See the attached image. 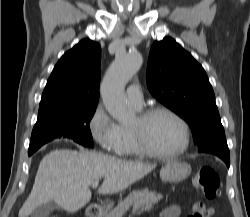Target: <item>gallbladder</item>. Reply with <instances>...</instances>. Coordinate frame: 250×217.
<instances>
[{"label": "gallbladder", "mask_w": 250, "mask_h": 217, "mask_svg": "<svg viewBox=\"0 0 250 217\" xmlns=\"http://www.w3.org/2000/svg\"><path fill=\"white\" fill-rule=\"evenodd\" d=\"M58 209V206L54 202H48L38 206L32 213V217H48V215L53 211Z\"/></svg>", "instance_id": "gallbladder-1"}]
</instances>
